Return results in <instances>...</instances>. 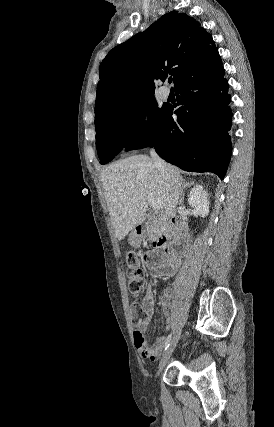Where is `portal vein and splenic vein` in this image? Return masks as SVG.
I'll list each match as a JSON object with an SVG mask.
<instances>
[{"mask_svg": "<svg viewBox=\"0 0 274 427\" xmlns=\"http://www.w3.org/2000/svg\"><path fill=\"white\" fill-rule=\"evenodd\" d=\"M147 200H148L150 206H152V208H154V210H156V212H160V210H162L163 204H162L161 200H154V198H151V196H147Z\"/></svg>", "mask_w": 274, "mask_h": 427, "instance_id": "obj_1", "label": "portal vein and splenic vein"}]
</instances>
